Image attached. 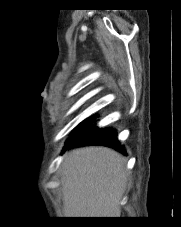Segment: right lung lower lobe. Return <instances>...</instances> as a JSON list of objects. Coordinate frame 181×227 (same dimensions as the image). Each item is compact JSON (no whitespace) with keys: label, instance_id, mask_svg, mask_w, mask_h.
I'll return each instance as SVG.
<instances>
[{"label":"right lung lower lobe","instance_id":"1","mask_svg":"<svg viewBox=\"0 0 181 227\" xmlns=\"http://www.w3.org/2000/svg\"><path fill=\"white\" fill-rule=\"evenodd\" d=\"M90 123V120H86L75 129L72 136L67 140L63 151L67 148L78 146L104 145L126 154L118 144L115 130L108 128L105 130L98 129L97 127H92Z\"/></svg>","mask_w":181,"mask_h":227}]
</instances>
